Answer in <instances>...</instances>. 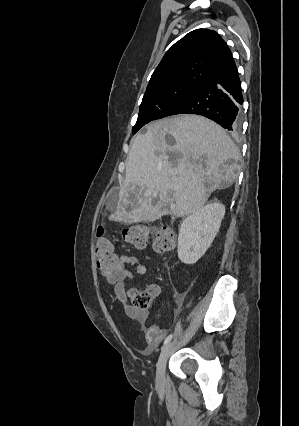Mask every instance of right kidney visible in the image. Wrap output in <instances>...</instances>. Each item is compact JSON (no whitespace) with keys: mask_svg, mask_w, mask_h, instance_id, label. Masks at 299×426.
<instances>
[{"mask_svg":"<svg viewBox=\"0 0 299 426\" xmlns=\"http://www.w3.org/2000/svg\"><path fill=\"white\" fill-rule=\"evenodd\" d=\"M224 214L223 204L211 202L183 220L178 236V258L182 263L194 264L205 254L219 231Z\"/></svg>","mask_w":299,"mask_h":426,"instance_id":"1","label":"right kidney"}]
</instances>
